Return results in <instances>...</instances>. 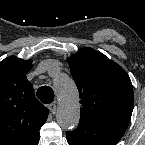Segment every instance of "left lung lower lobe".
<instances>
[{"label":"left lung lower lobe","mask_w":145,"mask_h":145,"mask_svg":"<svg viewBox=\"0 0 145 145\" xmlns=\"http://www.w3.org/2000/svg\"><path fill=\"white\" fill-rule=\"evenodd\" d=\"M127 127L120 122H79L77 129L66 135L70 145H116Z\"/></svg>","instance_id":"0a47b994"}]
</instances>
